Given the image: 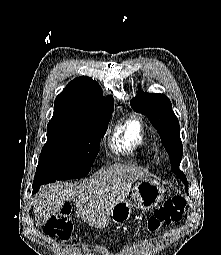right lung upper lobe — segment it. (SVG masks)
Here are the masks:
<instances>
[{
	"mask_svg": "<svg viewBox=\"0 0 221 255\" xmlns=\"http://www.w3.org/2000/svg\"><path fill=\"white\" fill-rule=\"evenodd\" d=\"M112 109L113 98L103 97L95 80L87 76L77 77L56 97L50 123L92 126L98 115Z\"/></svg>",
	"mask_w": 221,
	"mask_h": 255,
	"instance_id": "obj_1",
	"label": "right lung upper lobe"
}]
</instances>
